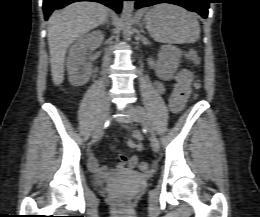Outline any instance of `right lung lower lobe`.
<instances>
[{"label": "right lung lower lobe", "mask_w": 260, "mask_h": 217, "mask_svg": "<svg viewBox=\"0 0 260 217\" xmlns=\"http://www.w3.org/2000/svg\"><path fill=\"white\" fill-rule=\"evenodd\" d=\"M77 1L99 2L115 10L117 13L121 12L122 2H123V0H43V10L45 14V20L48 19V17L50 16L53 10L61 9L66 5Z\"/></svg>", "instance_id": "98d812e1"}]
</instances>
